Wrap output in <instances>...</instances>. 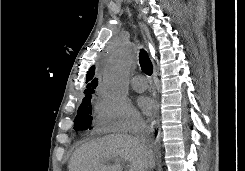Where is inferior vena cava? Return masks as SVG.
I'll use <instances>...</instances> for the list:
<instances>
[{"instance_id":"602c4592","label":"inferior vena cava","mask_w":245,"mask_h":171,"mask_svg":"<svg viewBox=\"0 0 245 171\" xmlns=\"http://www.w3.org/2000/svg\"><path fill=\"white\" fill-rule=\"evenodd\" d=\"M152 130L144 122H140L137 127L136 136L140 146L148 159L153 157V137ZM144 171V170H143Z\"/></svg>"}]
</instances>
